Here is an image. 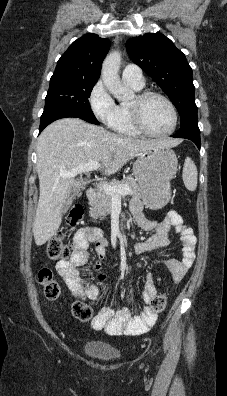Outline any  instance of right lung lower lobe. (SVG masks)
Segmentation results:
<instances>
[{
	"label": "right lung lower lobe",
	"instance_id": "right-lung-lower-lobe-1",
	"mask_svg": "<svg viewBox=\"0 0 227 396\" xmlns=\"http://www.w3.org/2000/svg\"><path fill=\"white\" fill-rule=\"evenodd\" d=\"M65 117H76V118H80V119L84 120V118L82 116L78 115L75 112L69 111V110L53 111V112H50L47 114H42L39 132H41L47 125H49L53 121L61 119V118H65Z\"/></svg>",
	"mask_w": 227,
	"mask_h": 396
}]
</instances>
